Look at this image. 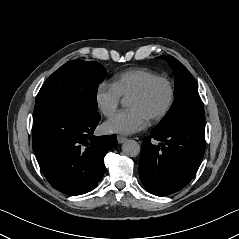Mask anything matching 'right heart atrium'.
Wrapping results in <instances>:
<instances>
[{"instance_id": "d8ad5b80", "label": "right heart atrium", "mask_w": 239, "mask_h": 239, "mask_svg": "<svg viewBox=\"0 0 239 239\" xmlns=\"http://www.w3.org/2000/svg\"><path fill=\"white\" fill-rule=\"evenodd\" d=\"M96 102L105 116L113 115L121 103V96L115 86L101 84L97 90Z\"/></svg>"}]
</instances>
